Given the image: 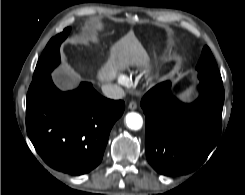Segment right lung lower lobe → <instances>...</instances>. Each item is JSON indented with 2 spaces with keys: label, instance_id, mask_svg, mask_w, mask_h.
Returning <instances> with one entry per match:
<instances>
[{
  "label": "right lung lower lobe",
  "instance_id": "98d812e1",
  "mask_svg": "<svg viewBox=\"0 0 245 195\" xmlns=\"http://www.w3.org/2000/svg\"><path fill=\"white\" fill-rule=\"evenodd\" d=\"M124 107L121 100L102 97L91 83L61 92L47 75L29 87L27 133L50 167L82 175L101 162L110 130Z\"/></svg>",
  "mask_w": 245,
  "mask_h": 195
}]
</instances>
